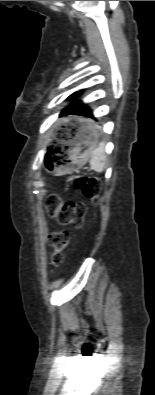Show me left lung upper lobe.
I'll list each match as a JSON object with an SVG mask.
<instances>
[{"label":"left lung upper lobe","instance_id":"1","mask_svg":"<svg viewBox=\"0 0 155 395\" xmlns=\"http://www.w3.org/2000/svg\"><path fill=\"white\" fill-rule=\"evenodd\" d=\"M80 93H81V91L75 92L74 94H72L68 98L76 97ZM84 107L85 106L80 101H74L69 106L64 108L62 110V112L60 113V115H68V114H77V115H79V114H82V111L84 110Z\"/></svg>","mask_w":155,"mask_h":395}]
</instances>
